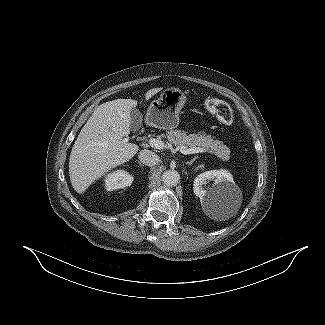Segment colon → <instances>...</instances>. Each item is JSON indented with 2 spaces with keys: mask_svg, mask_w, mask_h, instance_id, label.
I'll list each match as a JSON object with an SVG mask.
<instances>
[{
  "mask_svg": "<svg viewBox=\"0 0 325 325\" xmlns=\"http://www.w3.org/2000/svg\"><path fill=\"white\" fill-rule=\"evenodd\" d=\"M205 107L213 113L224 125H231L234 121V114L230 105L220 99L209 97L205 100Z\"/></svg>",
  "mask_w": 325,
  "mask_h": 325,
  "instance_id": "colon-1",
  "label": "colon"
}]
</instances>
